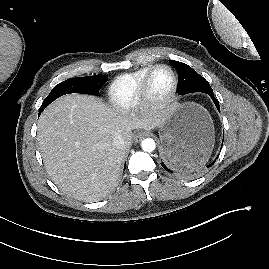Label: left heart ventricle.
I'll use <instances>...</instances> for the list:
<instances>
[{"mask_svg": "<svg viewBox=\"0 0 269 269\" xmlns=\"http://www.w3.org/2000/svg\"><path fill=\"white\" fill-rule=\"evenodd\" d=\"M172 84V77L167 69H157L150 80L149 93L152 98H162L170 89Z\"/></svg>", "mask_w": 269, "mask_h": 269, "instance_id": "obj_1", "label": "left heart ventricle"}]
</instances>
